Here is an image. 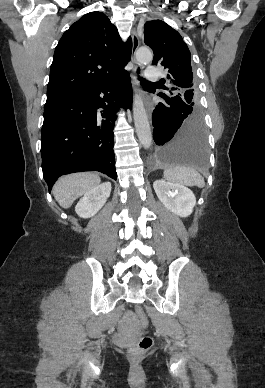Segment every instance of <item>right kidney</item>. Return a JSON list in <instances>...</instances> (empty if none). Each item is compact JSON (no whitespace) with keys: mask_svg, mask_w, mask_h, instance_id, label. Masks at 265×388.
I'll list each match as a JSON object with an SVG mask.
<instances>
[{"mask_svg":"<svg viewBox=\"0 0 265 388\" xmlns=\"http://www.w3.org/2000/svg\"><path fill=\"white\" fill-rule=\"evenodd\" d=\"M111 192V182H104L100 186H96L93 190H89L79 200L75 212L80 218H92L95 216L104 204H106Z\"/></svg>","mask_w":265,"mask_h":388,"instance_id":"obj_1","label":"right kidney"}]
</instances>
